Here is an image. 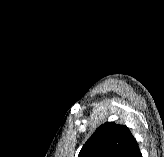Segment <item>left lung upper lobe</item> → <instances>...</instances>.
Returning a JSON list of instances; mask_svg holds the SVG:
<instances>
[{
	"label": "left lung upper lobe",
	"instance_id": "5c2ea615",
	"mask_svg": "<svg viewBox=\"0 0 164 157\" xmlns=\"http://www.w3.org/2000/svg\"><path fill=\"white\" fill-rule=\"evenodd\" d=\"M135 141L127 126L106 122L87 140L78 157H127Z\"/></svg>",
	"mask_w": 164,
	"mask_h": 157
}]
</instances>
